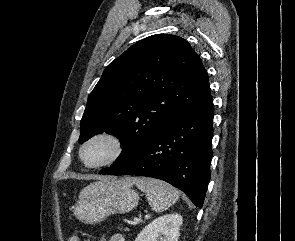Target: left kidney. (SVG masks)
<instances>
[{"label": "left kidney", "instance_id": "5707ae66", "mask_svg": "<svg viewBox=\"0 0 295 241\" xmlns=\"http://www.w3.org/2000/svg\"><path fill=\"white\" fill-rule=\"evenodd\" d=\"M183 218L180 214H167L145 226L135 241H178Z\"/></svg>", "mask_w": 295, "mask_h": 241}]
</instances>
